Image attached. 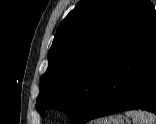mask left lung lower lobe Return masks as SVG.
Masks as SVG:
<instances>
[{
	"instance_id": "left-lung-lower-lobe-1",
	"label": "left lung lower lobe",
	"mask_w": 156,
	"mask_h": 124,
	"mask_svg": "<svg viewBox=\"0 0 156 124\" xmlns=\"http://www.w3.org/2000/svg\"><path fill=\"white\" fill-rule=\"evenodd\" d=\"M139 109L156 114V16L116 61L79 124Z\"/></svg>"
}]
</instances>
